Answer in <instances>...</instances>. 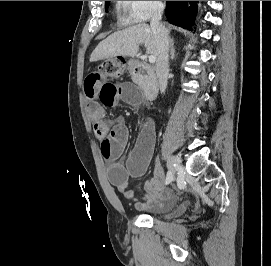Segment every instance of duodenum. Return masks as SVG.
<instances>
[{
	"label": "duodenum",
	"instance_id": "obj_1",
	"mask_svg": "<svg viewBox=\"0 0 271 266\" xmlns=\"http://www.w3.org/2000/svg\"><path fill=\"white\" fill-rule=\"evenodd\" d=\"M130 75L148 100L156 99L159 91V83L153 68L141 61L135 60L130 65Z\"/></svg>",
	"mask_w": 271,
	"mask_h": 266
}]
</instances>
